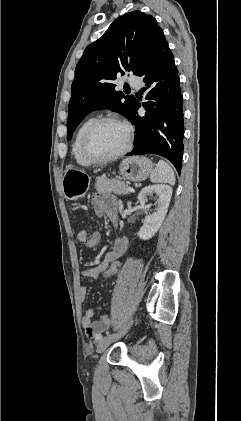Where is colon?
<instances>
[{
  "label": "colon",
  "mask_w": 241,
  "mask_h": 421,
  "mask_svg": "<svg viewBox=\"0 0 241 421\" xmlns=\"http://www.w3.org/2000/svg\"><path fill=\"white\" fill-rule=\"evenodd\" d=\"M101 231L99 229H94L91 233L88 234L84 245L89 248L93 249L96 248L101 241ZM122 269V262L119 260H115L109 264V266L103 271L102 277L103 279L107 280L114 276H117Z\"/></svg>",
  "instance_id": "5ec220e1"
}]
</instances>
